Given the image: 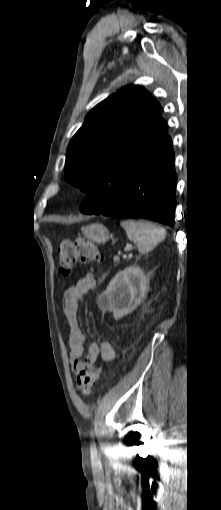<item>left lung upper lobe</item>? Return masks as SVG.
Listing matches in <instances>:
<instances>
[{
	"mask_svg": "<svg viewBox=\"0 0 221 510\" xmlns=\"http://www.w3.org/2000/svg\"><path fill=\"white\" fill-rule=\"evenodd\" d=\"M170 146L159 103L144 88L127 86L87 114L68 145L66 180L102 209L147 160Z\"/></svg>",
	"mask_w": 221,
	"mask_h": 510,
	"instance_id": "5c2ea615",
	"label": "left lung upper lobe"
}]
</instances>
